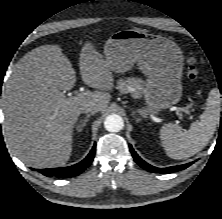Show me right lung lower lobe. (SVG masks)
Here are the masks:
<instances>
[{"mask_svg": "<svg viewBox=\"0 0 222 219\" xmlns=\"http://www.w3.org/2000/svg\"><path fill=\"white\" fill-rule=\"evenodd\" d=\"M96 145L93 146L90 153L83 159L81 162L69 166V167H61V168H50V169H41L40 173L47 177H60V178H68L77 176L82 173L93 161L95 155Z\"/></svg>", "mask_w": 222, "mask_h": 219, "instance_id": "98d812e1", "label": "right lung lower lobe"}]
</instances>
